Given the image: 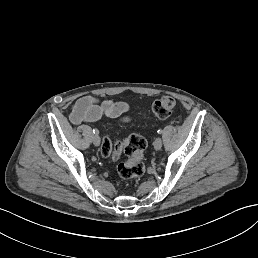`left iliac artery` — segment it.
<instances>
[{
  "instance_id": "1",
  "label": "left iliac artery",
  "mask_w": 258,
  "mask_h": 258,
  "mask_svg": "<svg viewBox=\"0 0 258 258\" xmlns=\"http://www.w3.org/2000/svg\"><path fill=\"white\" fill-rule=\"evenodd\" d=\"M162 132H163L162 129H159V130L157 131L158 134H161Z\"/></svg>"
}]
</instances>
